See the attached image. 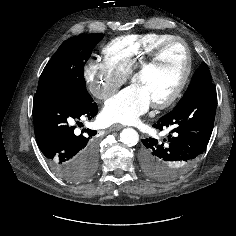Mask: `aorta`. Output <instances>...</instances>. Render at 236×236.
<instances>
[{"instance_id":"aorta-1","label":"aorta","mask_w":236,"mask_h":236,"mask_svg":"<svg viewBox=\"0 0 236 236\" xmlns=\"http://www.w3.org/2000/svg\"><path fill=\"white\" fill-rule=\"evenodd\" d=\"M120 140L125 145L132 147L138 143L139 135L133 128H126L120 133Z\"/></svg>"}]
</instances>
